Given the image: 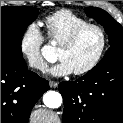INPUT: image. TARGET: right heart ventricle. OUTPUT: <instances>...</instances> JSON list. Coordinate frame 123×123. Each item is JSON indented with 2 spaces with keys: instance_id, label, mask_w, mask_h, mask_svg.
Returning a JSON list of instances; mask_svg holds the SVG:
<instances>
[{
  "instance_id": "e07e8e85",
  "label": "right heart ventricle",
  "mask_w": 123,
  "mask_h": 123,
  "mask_svg": "<svg viewBox=\"0 0 123 123\" xmlns=\"http://www.w3.org/2000/svg\"><path fill=\"white\" fill-rule=\"evenodd\" d=\"M87 24L88 20L66 9L58 10L43 20L49 40L58 46L76 29Z\"/></svg>"
}]
</instances>
